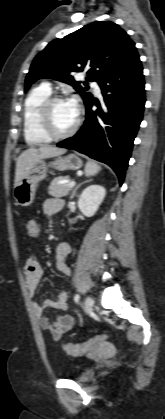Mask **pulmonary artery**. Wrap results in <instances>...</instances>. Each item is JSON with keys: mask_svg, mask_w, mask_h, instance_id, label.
<instances>
[{"mask_svg": "<svg viewBox=\"0 0 165 419\" xmlns=\"http://www.w3.org/2000/svg\"><path fill=\"white\" fill-rule=\"evenodd\" d=\"M91 85L93 86V88H94V90H95V92H96V94H100L101 93V88H100V85H99V83L97 82V81H93L92 83H91Z\"/></svg>", "mask_w": 165, "mask_h": 419, "instance_id": "1", "label": "pulmonary artery"}]
</instances>
